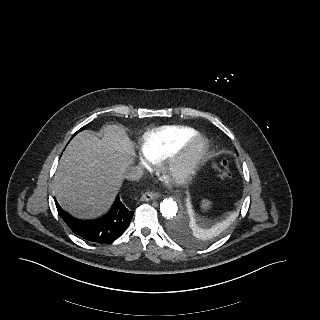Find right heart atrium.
<instances>
[{
  "label": "right heart atrium",
  "instance_id": "obj_1",
  "mask_svg": "<svg viewBox=\"0 0 320 320\" xmlns=\"http://www.w3.org/2000/svg\"><path fill=\"white\" fill-rule=\"evenodd\" d=\"M140 163H141V165H143L144 167H147V166H149V164H150V161L147 159V158H140Z\"/></svg>",
  "mask_w": 320,
  "mask_h": 320
}]
</instances>
